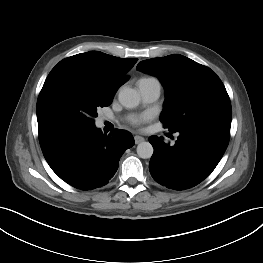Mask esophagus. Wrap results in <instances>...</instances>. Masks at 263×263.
<instances>
[{"label":"esophagus","instance_id":"obj_1","mask_svg":"<svg viewBox=\"0 0 263 263\" xmlns=\"http://www.w3.org/2000/svg\"><path fill=\"white\" fill-rule=\"evenodd\" d=\"M134 140H135L136 144H139V143L143 142L145 139L142 136L136 135V136H134Z\"/></svg>","mask_w":263,"mask_h":263}]
</instances>
